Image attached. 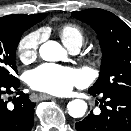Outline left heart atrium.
<instances>
[{
    "label": "left heart atrium",
    "instance_id": "39dd6f15",
    "mask_svg": "<svg viewBox=\"0 0 131 131\" xmlns=\"http://www.w3.org/2000/svg\"><path fill=\"white\" fill-rule=\"evenodd\" d=\"M29 85L38 91L55 95H66L74 87L84 84L80 71L55 64H43L28 75Z\"/></svg>",
    "mask_w": 131,
    "mask_h": 131
}]
</instances>
